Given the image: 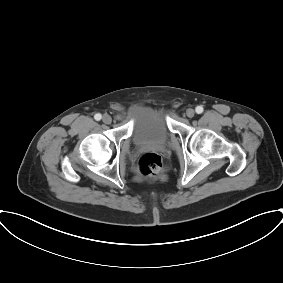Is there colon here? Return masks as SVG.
Returning <instances> with one entry per match:
<instances>
[{"label": "colon", "mask_w": 283, "mask_h": 283, "mask_svg": "<svg viewBox=\"0 0 283 283\" xmlns=\"http://www.w3.org/2000/svg\"><path fill=\"white\" fill-rule=\"evenodd\" d=\"M138 167L144 176L155 177L162 171L161 157L155 152H145L138 161Z\"/></svg>", "instance_id": "5ec220e1"}]
</instances>
